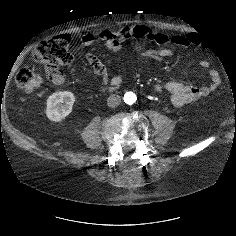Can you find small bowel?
Masks as SVG:
<instances>
[{"label": "small bowel", "mask_w": 236, "mask_h": 236, "mask_svg": "<svg viewBox=\"0 0 236 236\" xmlns=\"http://www.w3.org/2000/svg\"><path fill=\"white\" fill-rule=\"evenodd\" d=\"M65 37L68 38L67 36ZM131 38L150 41L159 45L160 48L147 51L149 57L155 60H164L170 57L173 54L172 47L187 48L202 43L201 36L196 33L188 35H168L156 32L146 26H136L134 28L123 27L116 32L103 30L97 36L92 33H84L80 37V43L84 46H89L97 41L104 44L109 50L117 52L121 48V43ZM87 62L97 76L101 77L104 81L108 80L106 68L96 56L89 54L87 56ZM199 65L202 68H208L210 63L207 60H201ZM209 76L210 83L207 85L200 86L175 81H165L156 83L154 89L158 92L170 93L173 105L176 107H182L186 104L195 102L200 98L208 96L219 87L221 83L219 72L216 70H210ZM120 81L121 78L119 76L112 79L113 83H119ZM52 82L55 84L62 83L63 76L59 74L52 79Z\"/></svg>", "instance_id": "obj_1"}]
</instances>
